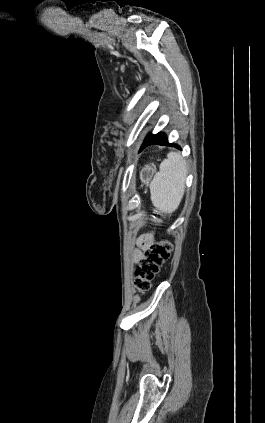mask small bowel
Wrapping results in <instances>:
<instances>
[{"label":"small bowel","instance_id":"small-bowel-1","mask_svg":"<svg viewBox=\"0 0 265 423\" xmlns=\"http://www.w3.org/2000/svg\"><path fill=\"white\" fill-rule=\"evenodd\" d=\"M154 241V234L153 233H146L139 239V250L134 253L133 261L134 263H138L140 258L143 256L142 251L148 248Z\"/></svg>","mask_w":265,"mask_h":423}]
</instances>
